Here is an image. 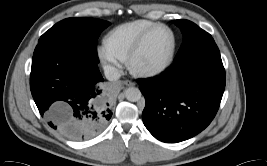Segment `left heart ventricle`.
Masks as SVG:
<instances>
[{
  "label": "left heart ventricle",
  "mask_w": 267,
  "mask_h": 166,
  "mask_svg": "<svg viewBox=\"0 0 267 166\" xmlns=\"http://www.w3.org/2000/svg\"><path fill=\"white\" fill-rule=\"evenodd\" d=\"M172 46L171 33L164 28L157 29L147 39L135 59L139 68H152L162 64L168 57Z\"/></svg>",
  "instance_id": "b2bd125f"
}]
</instances>
